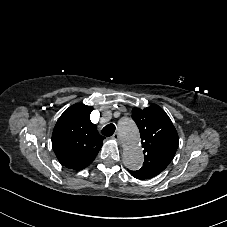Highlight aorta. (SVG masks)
<instances>
[{"mask_svg": "<svg viewBox=\"0 0 227 227\" xmlns=\"http://www.w3.org/2000/svg\"><path fill=\"white\" fill-rule=\"evenodd\" d=\"M119 134L123 143V163L130 170H138L144 161L140 146V134L133 120L124 118L119 122Z\"/></svg>", "mask_w": 227, "mask_h": 227, "instance_id": "762f6f07", "label": "aorta"}]
</instances>
